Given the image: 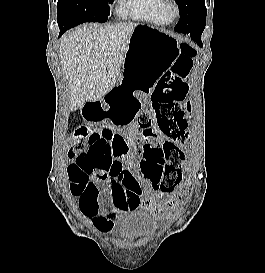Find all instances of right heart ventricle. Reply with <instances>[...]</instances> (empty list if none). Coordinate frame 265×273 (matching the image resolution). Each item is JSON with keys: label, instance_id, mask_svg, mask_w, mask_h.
Returning a JSON list of instances; mask_svg holds the SVG:
<instances>
[{"label": "right heart ventricle", "instance_id": "e07e8e85", "mask_svg": "<svg viewBox=\"0 0 265 273\" xmlns=\"http://www.w3.org/2000/svg\"><path fill=\"white\" fill-rule=\"evenodd\" d=\"M166 0H132L123 3L120 13L155 25H167L170 20L164 12Z\"/></svg>", "mask_w": 265, "mask_h": 273}]
</instances>
